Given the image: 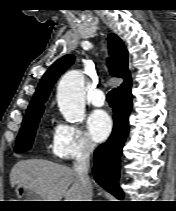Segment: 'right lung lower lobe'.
<instances>
[{
	"instance_id": "1",
	"label": "right lung lower lobe",
	"mask_w": 176,
	"mask_h": 211,
	"mask_svg": "<svg viewBox=\"0 0 176 211\" xmlns=\"http://www.w3.org/2000/svg\"><path fill=\"white\" fill-rule=\"evenodd\" d=\"M131 109V90L115 96L112 134L108 141L94 152L93 175L96 182L119 199L123 198V192L118 186L120 156L128 136V116Z\"/></svg>"
}]
</instances>
